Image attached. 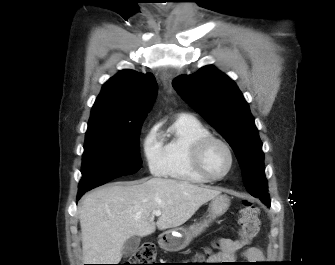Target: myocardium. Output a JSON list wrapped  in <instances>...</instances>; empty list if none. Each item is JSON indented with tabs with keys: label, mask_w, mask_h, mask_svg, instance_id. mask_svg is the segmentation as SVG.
<instances>
[{
	"label": "myocardium",
	"mask_w": 335,
	"mask_h": 265,
	"mask_svg": "<svg viewBox=\"0 0 335 265\" xmlns=\"http://www.w3.org/2000/svg\"><path fill=\"white\" fill-rule=\"evenodd\" d=\"M211 143H219L221 145H223L225 147V149L227 150L228 154H229V167L227 169V171L220 175V176H214L212 174H210L203 163V157H204V153L207 149V147L211 144ZM192 163L193 166L195 168V170L198 172V174H200L203 178H205L208 181H220L223 180L224 178H226L233 170L234 165H235V154L233 151L232 146L225 140L222 139L220 137L214 136V135H208L205 136L203 138H201L200 140H198L196 142V144L194 145L193 151H192Z\"/></svg>",
	"instance_id": "obj_1"
}]
</instances>
